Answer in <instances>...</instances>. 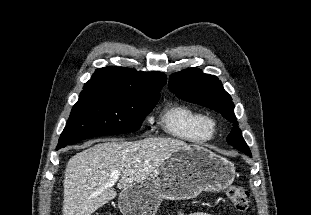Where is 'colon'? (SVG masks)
I'll return each mask as SVG.
<instances>
[{"mask_svg": "<svg viewBox=\"0 0 311 215\" xmlns=\"http://www.w3.org/2000/svg\"><path fill=\"white\" fill-rule=\"evenodd\" d=\"M228 199L231 205L240 212H245L249 208L250 194L242 186H231L227 191Z\"/></svg>", "mask_w": 311, "mask_h": 215, "instance_id": "1", "label": "colon"}]
</instances>
